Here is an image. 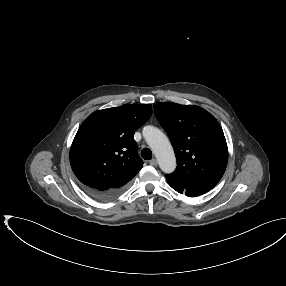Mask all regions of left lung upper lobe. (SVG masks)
I'll use <instances>...</instances> for the list:
<instances>
[{
  "label": "left lung upper lobe",
  "instance_id": "5c2ea615",
  "mask_svg": "<svg viewBox=\"0 0 286 286\" xmlns=\"http://www.w3.org/2000/svg\"><path fill=\"white\" fill-rule=\"evenodd\" d=\"M154 110L177 160L175 172L165 177L185 187L211 190L222 178L228 161L225 136L217 120L194 105L158 102Z\"/></svg>",
  "mask_w": 286,
  "mask_h": 286
}]
</instances>
